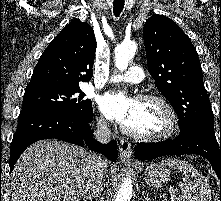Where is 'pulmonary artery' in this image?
<instances>
[{"label": "pulmonary artery", "mask_w": 221, "mask_h": 201, "mask_svg": "<svg viewBox=\"0 0 221 201\" xmlns=\"http://www.w3.org/2000/svg\"><path fill=\"white\" fill-rule=\"evenodd\" d=\"M144 79V72L139 66H132L129 70L122 74H117L112 76L109 79V82L118 83V82H126V83H139Z\"/></svg>", "instance_id": "pulmonary-artery-1"}]
</instances>
